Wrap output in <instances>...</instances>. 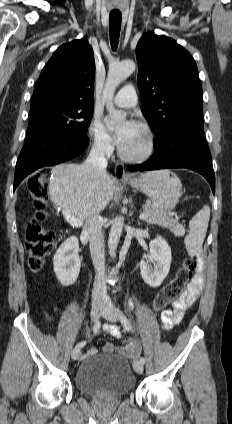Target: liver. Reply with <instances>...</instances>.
Segmentation results:
<instances>
[{"instance_id":"obj_1","label":"liver","mask_w":232,"mask_h":424,"mask_svg":"<svg viewBox=\"0 0 232 424\" xmlns=\"http://www.w3.org/2000/svg\"><path fill=\"white\" fill-rule=\"evenodd\" d=\"M53 174L49 184L52 202L81 221L103 211L115 193L114 178L107 174L97 180L85 163L59 164Z\"/></svg>"}]
</instances>
